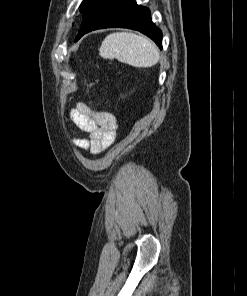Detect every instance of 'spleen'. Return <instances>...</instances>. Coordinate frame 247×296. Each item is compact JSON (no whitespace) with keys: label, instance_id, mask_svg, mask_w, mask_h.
Wrapping results in <instances>:
<instances>
[{"label":"spleen","instance_id":"spleen-1","mask_svg":"<svg viewBox=\"0 0 247 296\" xmlns=\"http://www.w3.org/2000/svg\"><path fill=\"white\" fill-rule=\"evenodd\" d=\"M99 55L138 68L151 67L160 57L158 48L150 39L126 32L109 34L101 44Z\"/></svg>","mask_w":247,"mask_h":296}]
</instances>
